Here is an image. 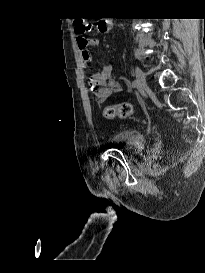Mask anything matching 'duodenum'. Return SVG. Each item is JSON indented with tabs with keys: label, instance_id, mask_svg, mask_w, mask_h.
I'll list each match as a JSON object with an SVG mask.
<instances>
[{
	"label": "duodenum",
	"instance_id": "1",
	"mask_svg": "<svg viewBox=\"0 0 205 273\" xmlns=\"http://www.w3.org/2000/svg\"><path fill=\"white\" fill-rule=\"evenodd\" d=\"M111 28V20H105L100 23V30L108 32Z\"/></svg>",
	"mask_w": 205,
	"mask_h": 273
}]
</instances>
